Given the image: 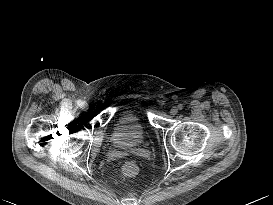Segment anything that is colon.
Listing matches in <instances>:
<instances>
[{"label":"colon","instance_id":"obj_1","mask_svg":"<svg viewBox=\"0 0 273 205\" xmlns=\"http://www.w3.org/2000/svg\"><path fill=\"white\" fill-rule=\"evenodd\" d=\"M137 171V165L134 162H126L122 167L123 176L128 178L136 176Z\"/></svg>","mask_w":273,"mask_h":205}]
</instances>
